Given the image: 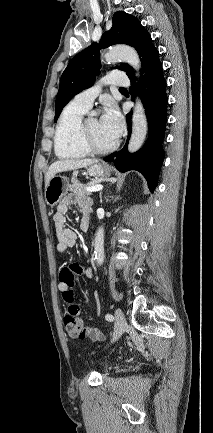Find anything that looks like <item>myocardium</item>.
Instances as JSON below:
<instances>
[{
    "label": "myocardium",
    "instance_id": "obj_1",
    "mask_svg": "<svg viewBox=\"0 0 213 433\" xmlns=\"http://www.w3.org/2000/svg\"><path fill=\"white\" fill-rule=\"evenodd\" d=\"M88 119L89 118H87L81 122L80 130H79L80 141H81V144L83 145V147L89 153H92V154H107V153L114 151L118 147V144H119L118 141H115L112 145L105 147V148L98 147L97 145L94 144V142L92 141V139L90 137L88 127H87Z\"/></svg>",
    "mask_w": 213,
    "mask_h": 433
}]
</instances>
